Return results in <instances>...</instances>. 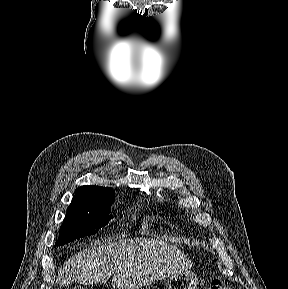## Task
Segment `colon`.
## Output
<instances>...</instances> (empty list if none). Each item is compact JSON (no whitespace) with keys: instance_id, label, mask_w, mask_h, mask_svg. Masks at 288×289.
<instances>
[{"instance_id":"obj_1","label":"colon","mask_w":288,"mask_h":289,"mask_svg":"<svg viewBox=\"0 0 288 289\" xmlns=\"http://www.w3.org/2000/svg\"><path fill=\"white\" fill-rule=\"evenodd\" d=\"M210 289H233V288L228 287V286L222 284L221 282L216 281V282L212 283Z\"/></svg>"}]
</instances>
